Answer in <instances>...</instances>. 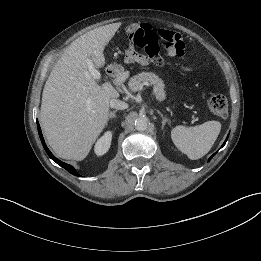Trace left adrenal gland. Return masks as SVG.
I'll return each mask as SVG.
<instances>
[{"label":"left adrenal gland","instance_id":"a2214340","mask_svg":"<svg viewBox=\"0 0 261 261\" xmlns=\"http://www.w3.org/2000/svg\"><path fill=\"white\" fill-rule=\"evenodd\" d=\"M157 113L162 118V130H163L166 123H168L170 125V120L168 118H166L159 110H157Z\"/></svg>","mask_w":261,"mask_h":261}]
</instances>
